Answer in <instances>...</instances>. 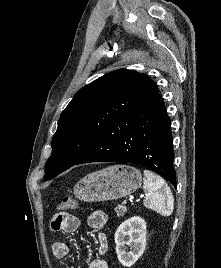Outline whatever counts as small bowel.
<instances>
[{"instance_id":"c3829d8e","label":"small bowel","mask_w":221,"mask_h":268,"mask_svg":"<svg viewBox=\"0 0 221 268\" xmlns=\"http://www.w3.org/2000/svg\"><path fill=\"white\" fill-rule=\"evenodd\" d=\"M106 223L107 215L101 210L92 212L87 219L88 227L93 230L102 228ZM79 225L80 221L77 217L65 212L55 214L50 223L51 229L54 232H72L75 231ZM97 244L99 254H105L108 248V241L104 233L97 234ZM70 250L71 245L66 242L58 241L52 245V253L58 259L65 258L70 253ZM63 268L68 267L64 266ZM87 268H108V264L103 257H97L88 264Z\"/></svg>"}]
</instances>
